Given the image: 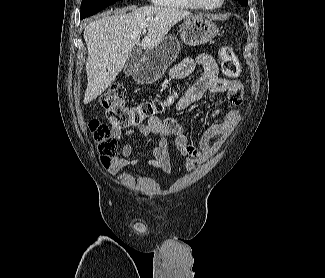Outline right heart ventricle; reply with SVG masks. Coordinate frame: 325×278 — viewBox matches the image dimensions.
I'll return each instance as SVG.
<instances>
[{
  "mask_svg": "<svg viewBox=\"0 0 325 278\" xmlns=\"http://www.w3.org/2000/svg\"><path fill=\"white\" fill-rule=\"evenodd\" d=\"M152 2L161 7L173 8V9H184L194 10L196 7L191 3L190 0H152Z\"/></svg>",
  "mask_w": 325,
  "mask_h": 278,
  "instance_id": "e07e8e85",
  "label": "right heart ventricle"
}]
</instances>
